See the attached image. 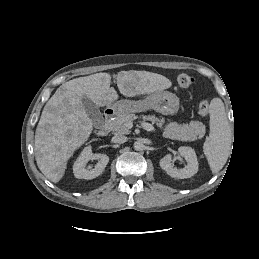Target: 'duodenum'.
<instances>
[{
    "label": "duodenum",
    "mask_w": 259,
    "mask_h": 259,
    "mask_svg": "<svg viewBox=\"0 0 259 259\" xmlns=\"http://www.w3.org/2000/svg\"><path fill=\"white\" fill-rule=\"evenodd\" d=\"M117 110L115 108H108L105 110L104 113V123L99 126L96 130V133L100 136H105L110 131V123L113 120V118L116 116Z\"/></svg>",
    "instance_id": "obj_1"
}]
</instances>
